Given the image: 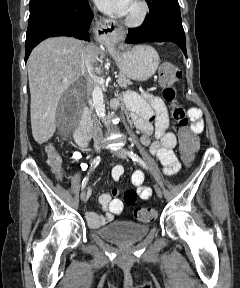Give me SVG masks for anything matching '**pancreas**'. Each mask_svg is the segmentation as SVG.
<instances>
[{"label":"pancreas","mask_w":240,"mask_h":288,"mask_svg":"<svg viewBox=\"0 0 240 288\" xmlns=\"http://www.w3.org/2000/svg\"><path fill=\"white\" fill-rule=\"evenodd\" d=\"M131 81L129 79H127L124 75L119 74L118 77V85L122 88H126L127 85H130Z\"/></svg>","instance_id":"pancreas-1"}]
</instances>
